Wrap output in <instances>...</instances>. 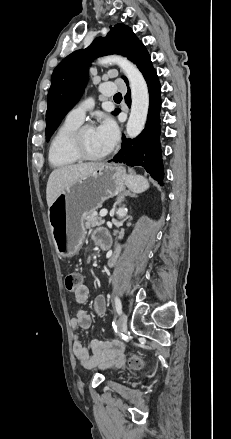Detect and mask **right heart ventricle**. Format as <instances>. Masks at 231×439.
Wrapping results in <instances>:
<instances>
[{
  "instance_id": "right-heart-ventricle-1",
  "label": "right heart ventricle",
  "mask_w": 231,
  "mask_h": 439,
  "mask_svg": "<svg viewBox=\"0 0 231 439\" xmlns=\"http://www.w3.org/2000/svg\"><path fill=\"white\" fill-rule=\"evenodd\" d=\"M80 125L81 122L66 117L57 128L48 148V161L51 167L64 169L80 161L69 147L70 136Z\"/></svg>"
}]
</instances>
